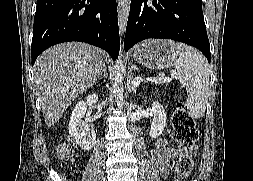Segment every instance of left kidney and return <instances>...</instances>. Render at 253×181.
Listing matches in <instances>:
<instances>
[{"label": "left kidney", "instance_id": "left-kidney-1", "mask_svg": "<svg viewBox=\"0 0 253 181\" xmlns=\"http://www.w3.org/2000/svg\"><path fill=\"white\" fill-rule=\"evenodd\" d=\"M147 102V100H144ZM153 120L150 128L149 136L156 139L162 134L166 127V112L164 107L158 102L154 101L152 104Z\"/></svg>", "mask_w": 253, "mask_h": 181}]
</instances>
